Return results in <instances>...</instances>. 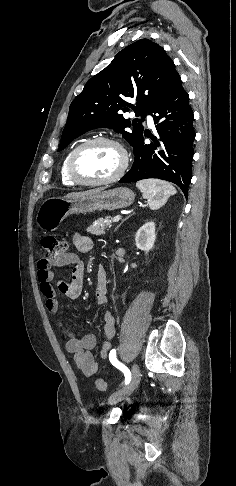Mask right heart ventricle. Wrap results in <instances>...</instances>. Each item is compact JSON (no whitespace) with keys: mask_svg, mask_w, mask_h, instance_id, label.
I'll return each mask as SVG.
<instances>
[{"mask_svg":"<svg viewBox=\"0 0 236 486\" xmlns=\"http://www.w3.org/2000/svg\"><path fill=\"white\" fill-rule=\"evenodd\" d=\"M72 151H73V149H71L67 153V155L65 156V158L62 162V165H61V170H60L61 181H62L63 184H65L67 186L77 185L74 181L71 180V178L69 177V175L67 173V162H68L69 156H70Z\"/></svg>","mask_w":236,"mask_h":486,"instance_id":"right-heart-ventricle-1","label":"right heart ventricle"}]
</instances>
